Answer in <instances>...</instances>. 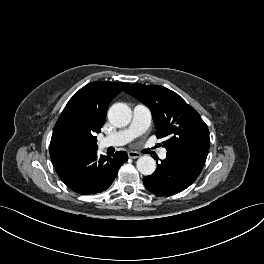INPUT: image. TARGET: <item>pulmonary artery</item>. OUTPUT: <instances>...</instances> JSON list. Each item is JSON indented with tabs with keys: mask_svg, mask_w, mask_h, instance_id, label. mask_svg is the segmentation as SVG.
<instances>
[{
	"mask_svg": "<svg viewBox=\"0 0 264 264\" xmlns=\"http://www.w3.org/2000/svg\"><path fill=\"white\" fill-rule=\"evenodd\" d=\"M152 113L150 109L143 105L137 104L133 109V118L130 125L122 130L114 132L99 141L101 148L109 146H121L129 143L137 136L143 134L150 126ZM167 156L166 150L162 149L159 153L161 159Z\"/></svg>",
	"mask_w": 264,
	"mask_h": 264,
	"instance_id": "e3ab8cb5",
	"label": "pulmonary artery"
}]
</instances>
